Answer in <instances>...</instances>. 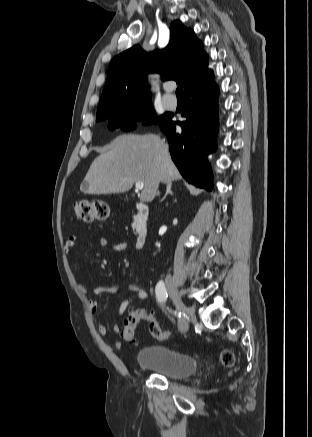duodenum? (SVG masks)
<instances>
[{
    "label": "duodenum",
    "mask_w": 312,
    "mask_h": 437,
    "mask_svg": "<svg viewBox=\"0 0 312 437\" xmlns=\"http://www.w3.org/2000/svg\"><path fill=\"white\" fill-rule=\"evenodd\" d=\"M149 216V208L145 203L136 204V213L134 217V228L136 232L135 247L141 250L147 243V220Z\"/></svg>",
    "instance_id": "duodenum-1"
}]
</instances>
